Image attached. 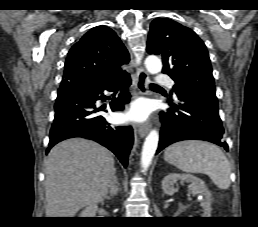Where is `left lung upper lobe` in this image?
I'll return each instance as SVG.
<instances>
[{"label":"left lung upper lobe","instance_id":"obj_1","mask_svg":"<svg viewBox=\"0 0 258 227\" xmlns=\"http://www.w3.org/2000/svg\"><path fill=\"white\" fill-rule=\"evenodd\" d=\"M147 52L162 56V71L175 81L173 90L176 94L178 88L215 92L206 46L191 29L167 18L154 19L150 25Z\"/></svg>","mask_w":258,"mask_h":227}]
</instances>
